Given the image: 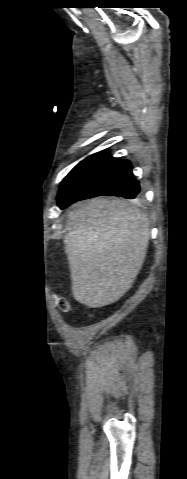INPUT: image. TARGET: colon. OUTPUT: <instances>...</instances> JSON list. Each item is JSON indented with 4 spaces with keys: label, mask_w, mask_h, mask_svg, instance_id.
Here are the masks:
<instances>
[{
    "label": "colon",
    "mask_w": 187,
    "mask_h": 479,
    "mask_svg": "<svg viewBox=\"0 0 187 479\" xmlns=\"http://www.w3.org/2000/svg\"><path fill=\"white\" fill-rule=\"evenodd\" d=\"M56 304L57 307L63 312H69L71 310L69 301L63 297H58L56 299Z\"/></svg>",
    "instance_id": "obj_1"
}]
</instances>
